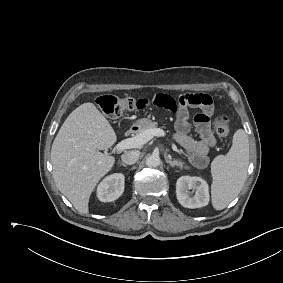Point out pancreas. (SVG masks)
Instances as JSON below:
<instances>
[{
    "instance_id": "cf45deb5",
    "label": "pancreas",
    "mask_w": 283,
    "mask_h": 283,
    "mask_svg": "<svg viewBox=\"0 0 283 283\" xmlns=\"http://www.w3.org/2000/svg\"><path fill=\"white\" fill-rule=\"evenodd\" d=\"M157 125H158L157 122H150L147 127H145L144 129L138 131V134H141V133H143L145 130H148V129H155V128H157Z\"/></svg>"
}]
</instances>
